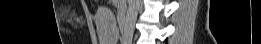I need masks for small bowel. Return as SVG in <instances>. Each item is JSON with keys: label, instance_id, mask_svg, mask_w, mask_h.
Listing matches in <instances>:
<instances>
[{"label": "small bowel", "instance_id": "1", "mask_svg": "<svg viewBox=\"0 0 261 44\" xmlns=\"http://www.w3.org/2000/svg\"><path fill=\"white\" fill-rule=\"evenodd\" d=\"M117 9L120 11V10H123L124 9V5L119 2L118 5H117Z\"/></svg>", "mask_w": 261, "mask_h": 44}]
</instances>
